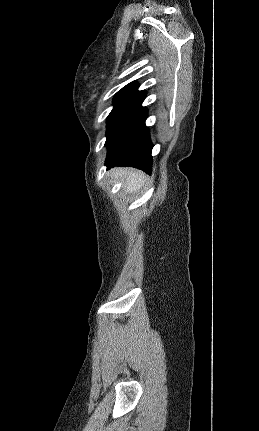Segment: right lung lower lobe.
Here are the masks:
<instances>
[{"label": "right lung lower lobe", "mask_w": 259, "mask_h": 431, "mask_svg": "<svg viewBox=\"0 0 259 431\" xmlns=\"http://www.w3.org/2000/svg\"><path fill=\"white\" fill-rule=\"evenodd\" d=\"M146 118L147 109L140 103L107 138V169L114 166H132L151 173L153 146L145 125Z\"/></svg>", "instance_id": "1"}]
</instances>
